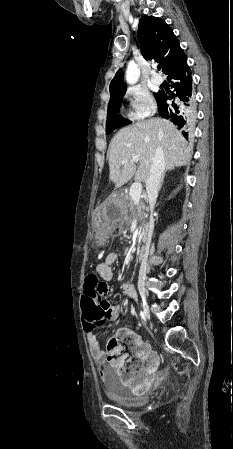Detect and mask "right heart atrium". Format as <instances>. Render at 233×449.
<instances>
[{"mask_svg": "<svg viewBox=\"0 0 233 449\" xmlns=\"http://www.w3.org/2000/svg\"><path fill=\"white\" fill-rule=\"evenodd\" d=\"M126 97L131 103L129 117L134 121L144 120L156 111V104L150 93L138 86L127 89Z\"/></svg>", "mask_w": 233, "mask_h": 449, "instance_id": "obj_1", "label": "right heart atrium"}]
</instances>
